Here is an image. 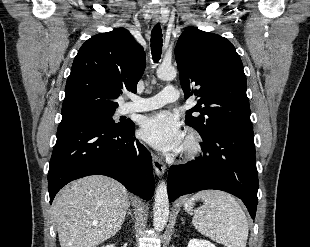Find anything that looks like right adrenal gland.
<instances>
[{
	"label": "right adrenal gland",
	"mask_w": 310,
	"mask_h": 247,
	"mask_svg": "<svg viewBox=\"0 0 310 247\" xmlns=\"http://www.w3.org/2000/svg\"><path fill=\"white\" fill-rule=\"evenodd\" d=\"M128 215H130V216L133 218V214H132V212H131L130 205H129V207H128V212H127L126 218L128 217ZM126 218H125V219H126Z\"/></svg>",
	"instance_id": "1"
}]
</instances>
